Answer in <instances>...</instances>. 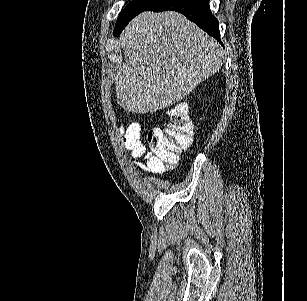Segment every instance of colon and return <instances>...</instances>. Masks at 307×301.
<instances>
[{
	"instance_id": "colon-1",
	"label": "colon",
	"mask_w": 307,
	"mask_h": 301,
	"mask_svg": "<svg viewBox=\"0 0 307 301\" xmlns=\"http://www.w3.org/2000/svg\"><path fill=\"white\" fill-rule=\"evenodd\" d=\"M166 115L167 126L150 130L147 142L152 153L170 169L176 166L178 154L192 144L194 126L184 102L170 107Z\"/></svg>"
}]
</instances>
